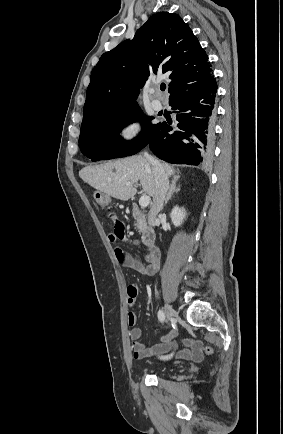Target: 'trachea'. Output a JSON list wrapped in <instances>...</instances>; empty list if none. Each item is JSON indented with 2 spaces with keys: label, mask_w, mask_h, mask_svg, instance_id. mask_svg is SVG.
<instances>
[{
  "label": "trachea",
  "mask_w": 283,
  "mask_h": 434,
  "mask_svg": "<svg viewBox=\"0 0 283 434\" xmlns=\"http://www.w3.org/2000/svg\"><path fill=\"white\" fill-rule=\"evenodd\" d=\"M160 89H161L162 91H164V90L166 89V85H165V84H161Z\"/></svg>",
  "instance_id": "3493384b"
}]
</instances>
